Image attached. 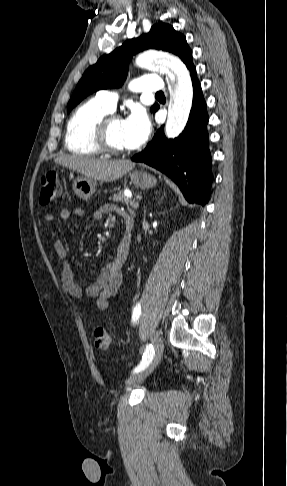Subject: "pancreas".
<instances>
[{
    "instance_id": "pancreas-1",
    "label": "pancreas",
    "mask_w": 287,
    "mask_h": 486,
    "mask_svg": "<svg viewBox=\"0 0 287 486\" xmlns=\"http://www.w3.org/2000/svg\"><path fill=\"white\" fill-rule=\"evenodd\" d=\"M112 199H113L114 202L122 203L124 205H127V207H128V199L125 196L123 191H120L119 193L114 194Z\"/></svg>"
}]
</instances>
